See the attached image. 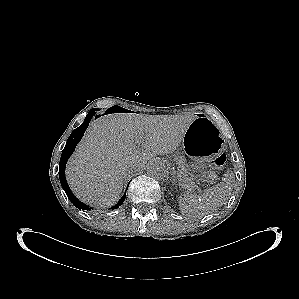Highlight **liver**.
Returning a JSON list of instances; mask_svg holds the SVG:
<instances>
[{
	"mask_svg": "<svg viewBox=\"0 0 299 299\" xmlns=\"http://www.w3.org/2000/svg\"><path fill=\"white\" fill-rule=\"evenodd\" d=\"M195 118L119 113L94 120L67 163L70 188L89 205H113L130 168L140 170L156 155L174 152Z\"/></svg>",
	"mask_w": 299,
	"mask_h": 299,
	"instance_id": "6515ba94",
	"label": "liver"
}]
</instances>
